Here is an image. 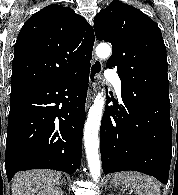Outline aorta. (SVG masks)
I'll list each match as a JSON object with an SVG mask.
<instances>
[{
    "label": "aorta",
    "mask_w": 178,
    "mask_h": 195,
    "mask_svg": "<svg viewBox=\"0 0 178 195\" xmlns=\"http://www.w3.org/2000/svg\"><path fill=\"white\" fill-rule=\"evenodd\" d=\"M111 47L106 43H100L96 47V54L100 59H107L111 55ZM105 104V93L99 92L91 106L88 118L84 127V142L87 161L91 176L94 181H98L101 173V163L99 159V128L102 118V111Z\"/></svg>",
    "instance_id": "762f6f07"
}]
</instances>
